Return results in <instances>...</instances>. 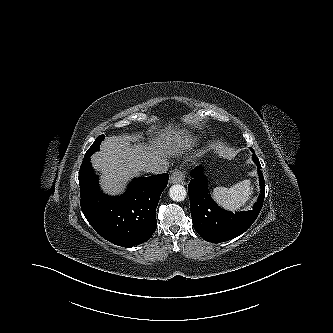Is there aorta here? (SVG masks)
Here are the masks:
<instances>
[{"mask_svg": "<svg viewBox=\"0 0 333 333\" xmlns=\"http://www.w3.org/2000/svg\"><path fill=\"white\" fill-rule=\"evenodd\" d=\"M169 195L173 201L181 202L186 198L187 192L184 186L175 184L171 186Z\"/></svg>", "mask_w": 333, "mask_h": 333, "instance_id": "obj_1", "label": "aorta"}]
</instances>
